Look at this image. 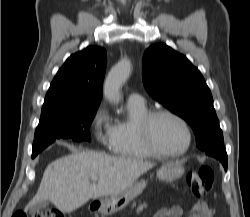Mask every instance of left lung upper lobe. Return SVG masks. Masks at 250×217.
I'll return each mask as SVG.
<instances>
[{
  "label": "left lung upper lobe",
  "mask_w": 250,
  "mask_h": 217,
  "mask_svg": "<svg viewBox=\"0 0 250 217\" xmlns=\"http://www.w3.org/2000/svg\"><path fill=\"white\" fill-rule=\"evenodd\" d=\"M143 83L153 99L190 124L200 150L223 146L210 89L184 55L163 43L150 46L143 57Z\"/></svg>",
  "instance_id": "obj_1"
}]
</instances>
